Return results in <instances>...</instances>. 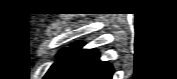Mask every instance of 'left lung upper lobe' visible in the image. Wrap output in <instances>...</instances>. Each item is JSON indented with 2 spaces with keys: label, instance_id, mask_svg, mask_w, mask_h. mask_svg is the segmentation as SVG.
I'll list each match as a JSON object with an SVG mask.
<instances>
[{
  "label": "left lung upper lobe",
  "instance_id": "5c2ea615",
  "mask_svg": "<svg viewBox=\"0 0 177 79\" xmlns=\"http://www.w3.org/2000/svg\"><path fill=\"white\" fill-rule=\"evenodd\" d=\"M65 53L56 60V62L51 66V68L48 70L47 74L45 75L44 79H48L61 65L63 60L65 59L66 55L68 54V50H63Z\"/></svg>",
  "mask_w": 177,
  "mask_h": 79
}]
</instances>
